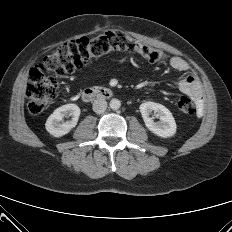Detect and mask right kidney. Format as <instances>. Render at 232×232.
Here are the masks:
<instances>
[{
	"label": "right kidney",
	"mask_w": 232,
	"mask_h": 232,
	"mask_svg": "<svg viewBox=\"0 0 232 232\" xmlns=\"http://www.w3.org/2000/svg\"><path fill=\"white\" fill-rule=\"evenodd\" d=\"M80 108L76 104H66L56 110L48 117L45 128L54 137H61L71 131L77 125ZM64 117H72L70 121L62 122Z\"/></svg>",
	"instance_id": "1"
}]
</instances>
